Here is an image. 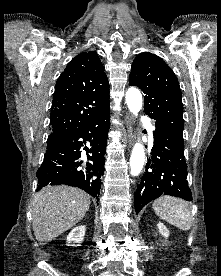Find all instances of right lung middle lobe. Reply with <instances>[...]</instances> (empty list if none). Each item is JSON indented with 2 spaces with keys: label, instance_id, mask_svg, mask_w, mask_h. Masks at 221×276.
I'll return each mask as SVG.
<instances>
[{
  "label": "right lung middle lobe",
  "instance_id": "right-lung-middle-lobe-1",
  "mask_svg": "<svg viewBox=\"0 0 221 276\" xmlns=\"http://www.w3.org/2000/svg\"><path fill=\"white\" fill-rule=\"evenodd\" d=\"M66 141V137H48L47 148L56 147Z\"/></svg>",
  "mask_w": 221,
  "mask_h": 276
}]
</instances>
